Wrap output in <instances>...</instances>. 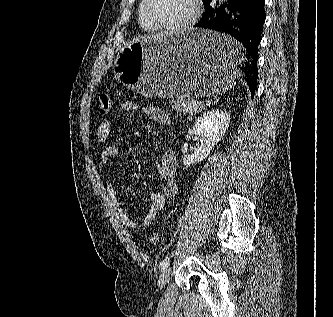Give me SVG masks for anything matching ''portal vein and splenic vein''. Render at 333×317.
<instances>
[{"mask_svg": "<svg viewBox=\"0 0 333 317\" xmlns=\"http://www.w3.org/2000/svg\"><path fill=\"white\" fill-rule=\"evenodd\" d=\"M192 104L194 105V104H200V103L197 101H192Z\"/></svg>", "mask_w": 333, "mask_h": 317, "instance_id": "18ae733b", "label": "portal vein and splenic vein"}]
</instances>
